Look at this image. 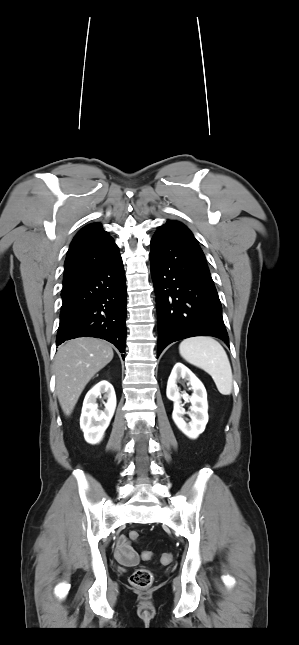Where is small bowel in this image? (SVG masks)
<instances>
[{
	"label": "small bowel",
	"mask_w": 299,
	"mask_h": 645,
	"mask_svg": "<svg viewBox=\"0 0 299 645\" xmlns=\"http://www.w3.org/2000/svg\"><path fill=\"white\" fill-rule=\"evenodd\" d=\"M116 559L125 566H134L138 563L139 557L130 544L127 536L121 535L115 546Z\"/></svg>",
	"instance_id": "1"
}]
</instances>
